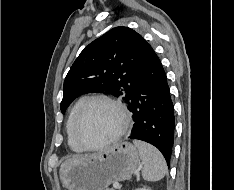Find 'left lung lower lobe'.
<instances>
[{
    "label": "left lung lower lobe",
    "mask_w": 234,
    "mask_h": 190,
    "mask_svg": "<svg viewBox=\"0 0 234 190\" xmlns=\"http://www.w3.org/2000/svg\"><path fill=\"white\" fill-rule=\"evenodd\" d=\"M128 108L135 122L129 138L157 147L169 165L174 142V107L162 64L144 39L137 81Z\"/></svg>",
    "instance_id": "obj_1"
}]
</instances>
